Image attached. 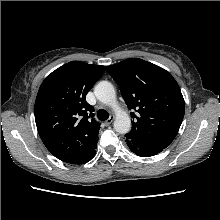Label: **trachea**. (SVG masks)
I'll return each mask as SVG.
<instances>
[{"mask_svg":"<svg viewBox=\"0 0 220 220\" xmlns=\"http://www.w3.org/2000/svg\"><path fill=\"white\" fill-rule=\"evenodd\" d=\"M97 117L100 119V120H107L109 118V114L107 111H105L104 109H99L97 111Z\"/></svg>","mask_w":220,"mask_h":220,"instance_id":"1","label":"trachea"}]
</instances>
